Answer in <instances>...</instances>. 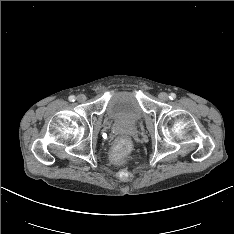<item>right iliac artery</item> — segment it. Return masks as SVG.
Segmentation results:
<instances>
[{
  "instance_id": "right-iliac-artery-1",
  "label": "right iliac artery",
  "mask_w": 234,
  "mask_h": 234,
  "mask_svg": "<svg viewBox=\"0 0 234 234\" xmlns=\"http://www.w3.org/2000/svg\"><path fill=\"white\" fill-rule=\"evenodd\" d=\"M75 96L74 95H71V96H69V101H71V102H74L75 101Z\"/></svg>"
}]
</instances>
